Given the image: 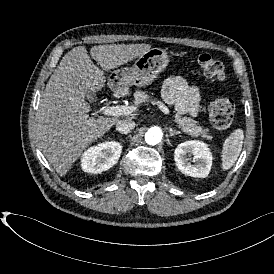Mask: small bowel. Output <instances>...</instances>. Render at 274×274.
Returning <instances> with one entry per match:
<instances>
[{
  "instance_id": "c3829d8e",
  "label": "small bowel",
  "mask_w": 274,
  "mask_h": 274,
  "mask_svg": "<svg viewBox=\"0 0 274 274\" xmlns=\"http://www.w3.org/2000/svg\"><path fill=\"white\" fill-rule=\"evenodd\" d=\"M164 99L183 115L195 116L200 109V91L181 77H170L163 84Z\"/></svg>"
}]
</instances>
